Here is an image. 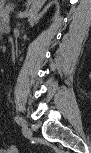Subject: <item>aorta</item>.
Masks as SVG:
<instances>
[{
    "instance_id": "1",
    "label": "aorta",
    "mask_w": 91,
    "mask_h": 153,
    "mask_svg": "<svg viewBox=\"0 0 91 153\" xmlns=\"http://www.w3.org/2000/svg\"><path fill=\"white\" fill-rule=\"evenodd\" d=\"M45 0H30V8L28 10V20H32L37 13L40 11V9L42 8L43 4H44Z\"/></svg>"
}]
</instances>
